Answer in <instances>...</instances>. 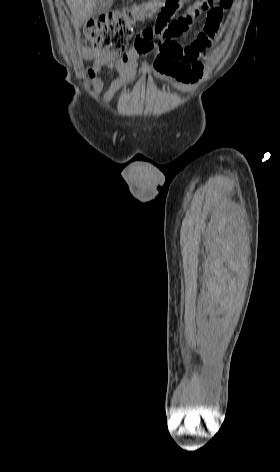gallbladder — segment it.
<instances>
[{
    "label": "gallbladder",
    "mask_w": 280,
    "mask_h": 472,
    "mask_svg": "<svg viewBox=\"0 0 280 472\" xmlns=\"http://www.w3.org/2000/svg\"><path fill=\"white\" fill-rule=\"evenodd\" d=\"M112 5V0H95V6L93 9V16H98L106 13Z\"/></svg>",
    "instance_id": "gallbladder-1"
}]
</instances>
